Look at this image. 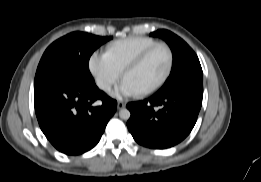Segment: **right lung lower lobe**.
<instances>
[{"label":"right lung lower lobe","instance_id":"right-lung-lower-lobe-1","mask_svg":"<svg viewBox=\"0 0 261 182\" xmlns=\"http://www.w3.org/2000/svg\"><path fill=\"white\" fill-rule=\"evenodd\" d=\"M102 105L94 107L96 100ZM34 105L39 126L60 152L78 155L100 140L117 102L97 86L83 88L66 76L34 83Z\"/></svg>","mask_w":261,"mask_h":182}]
</instances>
